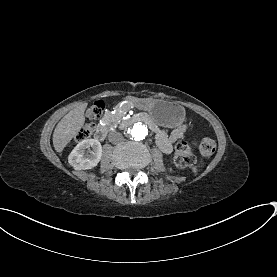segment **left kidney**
<instances>
[{"instance_id": "5707ae66", "label": "left kidney", "mask_w": 277, "mask_h": 277, "mask_svg": "<svg viewBox=\"0 0 277 277\" xmlns=\"http://www.w3.org/2000/svg\"><path fill=\"white\" fill-rule=\"evenodd\" d=\"M166 170L168 172H173V168L170 165H166Z\"/></svg>"}]
</instances>
